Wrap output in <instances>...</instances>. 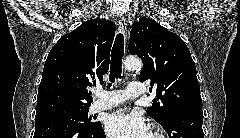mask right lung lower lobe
Listing matches in <instances>:
<instances>
[{"instance_id":"98d812e1","label":"right lung lower lobe","mask_w":240,"mask_h":138,"mask_svg":"<svg viewBox=\"0 0 240 138\" xmlns=\"http://www.w3.org/2000/svg\"><path fill=\"white\" fill-rule=\"evenodd\" d=\"M33 138H106L102 125L86 128L77 122L57 118L35 124Z\"/></svg>"}]
</instances>
